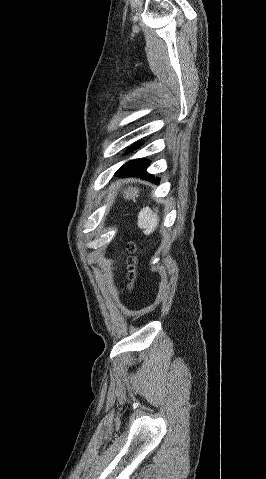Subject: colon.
<instances>
[{"label": "colon", "mask_w": 266, "mask_h": 479, "mask_svg": "<svg viewBox=\"0 0 266 479\" xmlns=\"http://www.w3.org/2000/svg\"><path fill=\"white\" fill-rule=\"evenodd\" d=\"M130 249L134 251L135 245L131 244ZM128 278L130 280V286L132 287L137 278V260L135 257H131L128 261Z\"/></svg>", "instance_id": "obj_1"}]
</instances>
